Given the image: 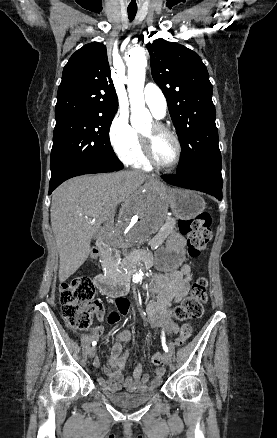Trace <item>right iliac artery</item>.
<instances>
[{
    "label": "right iliac artery",
    "instance_id": "82829eb1",
    "mask_svg": "<svg viewBox=\"0 0 277 438\" xmlns=\"http://www.w3.org/2000/svg\"><path fill=\"white\" fill-rule=\"evenodd\" d=\"M92 345L95 346V345H96V341H93V342H92Z\"/></svg>",
    "mask_w": 277,
    "mask_h": 438
}]
</instances>
